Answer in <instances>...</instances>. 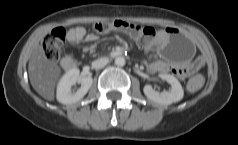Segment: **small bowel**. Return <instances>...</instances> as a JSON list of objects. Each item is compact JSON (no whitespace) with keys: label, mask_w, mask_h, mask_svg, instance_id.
I'll return each mask as SVG.
<instances>
[{"label":"small bowel","mask_w":238,"mask_h":145,"mask_svg":"<svg viewBox=\"0 0 238 145\" xmlns=\"http://www.w3.org/2000/svg\"><path fill=\"white\" fill-rule=\"evenodd\" d=\"M167 33H173V28L166 29ZM85 38L88 41H93L96 39L95 35H85L82 28H75L69 32V39L72 42H77L80 39ZM203 66V60L199 57L192 58L187 62H183L179 66L173 67L169 63L162 61L160 59H155L148 65L149 71L153 73H163L171 71L180 77H186L188 75L194 74Z\"/></svg>","instance_id":"obj_1"}]
</instances>
